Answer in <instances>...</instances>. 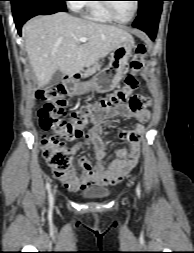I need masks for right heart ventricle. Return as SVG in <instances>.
Masks as SVG:
<instances>
[{"label":"right heart ventricle","instance_id":"1","mask_svg":"<svg viewBox=\"0 0 194 253\" xmlns=\"http://www.w3.org/2000/svg\"><path fill=\"white\" fill-rule=\"evenodd\" d=\"M84 16L94 22L109 24L114 20L109 16L103 4L97 0L87 1L82 8Z\"/></svg>","mask_w":194,"mask_h":253}]
</instances>
